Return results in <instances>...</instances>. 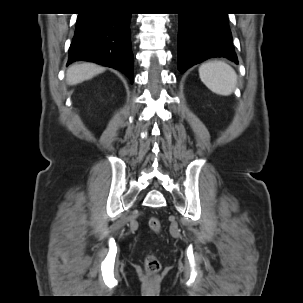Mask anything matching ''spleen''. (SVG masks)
<instances>
[{"label": "spleen", "mask_w": 303, "mask_h": 303, "mask_svg": "<svg viewBox=\"0 0 303 303\" xmlns=\"http://www.w3.org/2000/svg\"><path fill=\"white\" fill-rule=\"evenodd\" d=\"M199 76L206 87L215 94H232L237 83L234 69L223 61H209L199 67Z\"/></svg>", "instance_id": "obj_1"}]
</instances>
